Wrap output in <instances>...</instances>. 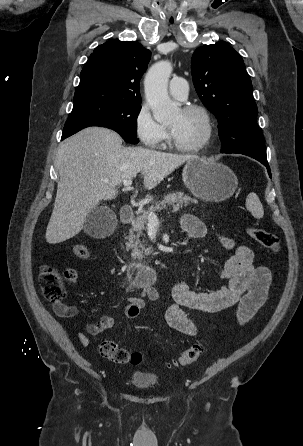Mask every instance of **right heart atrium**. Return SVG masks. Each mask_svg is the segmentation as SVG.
Masks as SVG:
<instances>
[{
  "label": "right heart atrium",
  "instance_id": "right-heart-atrium-1",
  "mask_svg": "<svg viewBox=\"0 0 303 446\" xmlns=\"http://www.w3.org/2000/svg\"><path fill=\"white\" fill-rule=\"evenodd\" d=\"M137 138L148 148H159L167 139L166 128L156 121L146 103L140 105L134 118Z\"/></svg>",
  "mask_w": 303,
  "mask_h": 446
}]
</instances>
